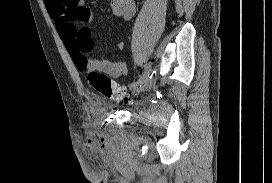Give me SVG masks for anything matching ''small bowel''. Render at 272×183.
Here are the masks:
<instances>
[{
  "label": "small bowel",
  "mask_w": 272,
  "mask_h": 183,
  "mask_svg": "<svg viewBox=\"0 0 272 183\" xmlns=\"http://www.w3.org/2000/svg\"><path fill=\"white\" fill-rule=\"evenodd\" d=\"M45 4L78 70L92 68L112 78L127 74V65L124 62L87 57L93 48L91 25L94 15L84 0H45ZM112 10L115 16L129 20L136 12V4L134 0H113ZM118 47L123 50L125 43L120 41Z\"/></svg>",
  "instance_id": "obj_1"
}]
</instances>
